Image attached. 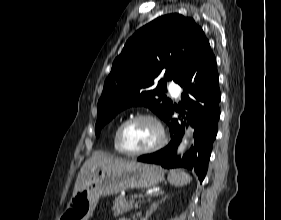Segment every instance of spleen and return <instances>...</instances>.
<instances>
[{
    "instance_id": "obj_1",
    "label": "spleen",
    "mask_w": 281,
    "mask_h": 220,
    "mask_svg": "<svg viewBox=\"0 0 281 220\" xmlns=\"http://www.w3.org/2000/svg\"><path fill=\"white\" fill-rule=\"evenodd\" d=\"M168 180L175 186H184L191 182V176L183 170L172 169L169 172Z\"/></svg>"
}]
</instances>
